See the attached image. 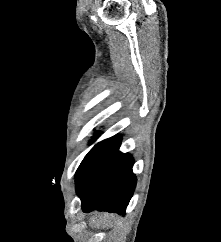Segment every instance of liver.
I'll return each instance as SVG.
<instances>
[{"label":"liver","mask_w":221,"mask_h":242,"mask_svg":"<svg viewBox=\"0 0 221 242\" xmlns=\"http://www.w3.org/2000/svg\"><path fill=\"white\" fill-rule=\"evenodd\" d=\"M115 216L113 214L104 213L98 216L97 218H91L89 221V225L93 228L102 226L103 228L112 227L113 223L115 222Z\"/></svg>","instance_id":"6515ba94"}]
</instances>
